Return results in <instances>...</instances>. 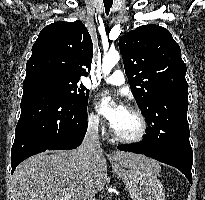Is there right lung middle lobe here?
I'll use <instances>...</instances> for the list:
<instances>
[{
  "mask_svg": "<svg viewBox=\"0 0 205 200\" xmlns=\"http://www.w3.org/2000/svg\"><path fill=\"white\" fill-rule=\"evenodd\" d=\"M24 82H37L51 85L58 89L69 101L80 107H87L89 91L83 84L79 87V80L70 79L57 74H42Z\"/></svg>",
  "mask_w": 205,
  "mask_h": 200,
  "instance_id": "obj_1",
  "label": "right lung middle lobe"
}]
</instances>
